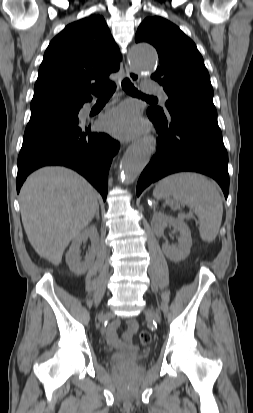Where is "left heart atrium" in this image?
<instances>
[{"label": "left heart atrium", "instance_id": "left-heart-atrium-1", "mask_svg": "<svg viewBox=\"0 0 253 413\" xmlns=\"http://www.w3.org/2000/svg\"><path fill=\"white\" fill-rule=\"evenodd\" d=\"M103 127L123 138L134 137L145 129V124L136 107L124 104L112 109L102 121Z\"/></svg>", "mask_w": 253, "mask_h": 413}]
</instances>
